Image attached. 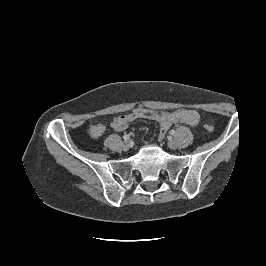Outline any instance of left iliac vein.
Returning <instances> with one entry per match:
<instances>
[{"label":"left iliac vein","instance_id":"left-iliac-vein-1","mask_svg":"<svg viewBox=\"0 0 266 266\" xmlns=\"http://www.w3.org/2000/svg\"><path fill=\"white\" fill-rule=\"evenodd\" d=\"M168 146L170 149L175 150L177 148V142L173 139L168 141Z\"/></svg>","mask_w":266,"mask_h":266}]
</instances>
